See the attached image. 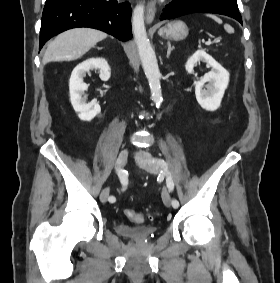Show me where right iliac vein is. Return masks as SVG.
Returning a JSON list of instances; mask_svg holds the SVG:
<instances>
[{
  "label": "right iliac vein",
  "mask_w": 280,
  "mask_h": 283,
  "mask_svg": "<svg viewBox=\"0 0 280 283\" xmlns=\"http://www.w3.org/2000/svg\"><path fill=\"white\" fill-rule=\"evenodd\" d=\"M127 159H128V150L124 149L122 150L117 158V167L122 168L125 166V164L127 163ZM109 196V188H105L102 190V192L100 193V201L102 203H105L108 199Z\"/></svg>",
  "instance_id": "63e3f726"
}]
</instances>
